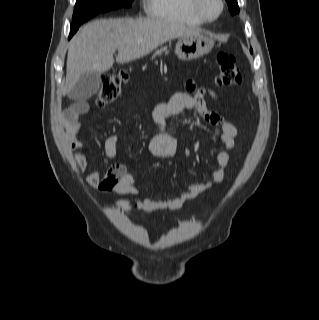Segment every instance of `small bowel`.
Segmentation results:
<instances>
[{
    "mask_svg": "<svg viewBox=\"0 0 319 320\" xmlns=\"http://www.w3.org/2000/svg\"><path fill=\"white\" fill-rule=\"evenodd\" d=\"M216 97L209 88L199 89L194 92V87L189 84L187 92H179L165 103L160 104L152 115L153 131L148 137V148L151 154L158 158H171L176 154L177 141L168 133L161 130L162 121L167 116L178 115L185 110L195 112L202 120L218 129L217 139L225 146L226 150L217 151L214 155L218 168L213 170L211 178L206 182L192 183L166 199L156 200L140 192L135 178L124 170L115 171L111 174L112 167L106 172L94 169L85 181L91 188L104 193L117 192L123 195L138 197L137 206L145 212L176 211L186 202L221 184L225 178V169L229 165V152L235 146L237 137L236 127L222 115L209 110L205 97ZM89 107L86 102H78L62 117L61 123L65 131V139L68 147L75 152L76 164L80 171H85L88 165L87 152L82 140L83 128L80 123L81 117L87 113ZM120 137L110 135L104 142V155L107 159L115 158L117 144Z\"/></svg>",
    "mask_w": 319,
    "mask_h": 320,
    "instance_id": "small-bowel-1",
    "label": "small bowel"
}]
</instances>
